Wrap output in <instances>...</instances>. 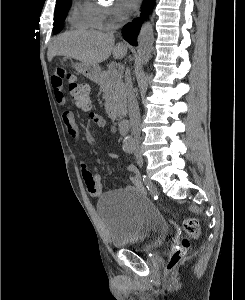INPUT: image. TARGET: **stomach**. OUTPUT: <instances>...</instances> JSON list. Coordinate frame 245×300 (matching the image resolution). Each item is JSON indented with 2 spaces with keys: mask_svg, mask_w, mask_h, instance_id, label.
I'll return each mask as SVG.
<instances>
[{
  "mask_svg": "<svg viewBox=\"0 0 245 300\" xmlns=\"http://www.w3.org/2000/svg\"><path fill=\"white\" fill-rule=\"evenodd\" d=\"M72 66L77 72L81 73L85 77L97 81L100 77V68L98 65H91L81 61L71 62Z\"/></svg>",
  "mask_w": 245,
  "mask_h": 300,
  "instance_id": "1",
  "label": "stomach"
}]
</instances>
